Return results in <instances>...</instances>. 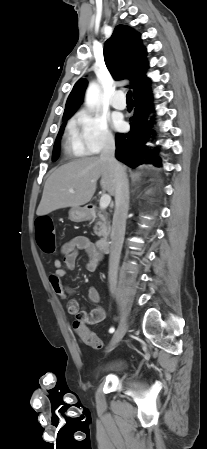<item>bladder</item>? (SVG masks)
I'll list each match as a JSON object with an SVG mask.
<instances>
[{
  "mask_svg": "<svg viewBox=\"0 0 207 449\" xmlns=\"http://www.w3.org/2000/svg\"><path fill=\"white\" fill-rule=\"evenodd\" d=\"M125 369V362L123 360H118L111 364L110 368L107 369L104 373H115L119 374L123 372Z\"/></svg>",
  "mask_w": 207,
  "mask_h": 449,
  "instance_id": "31cf9c89",
  "label": "bladder"
}]
</instances>
